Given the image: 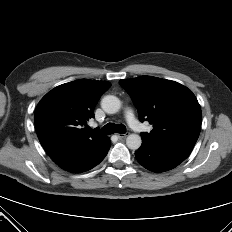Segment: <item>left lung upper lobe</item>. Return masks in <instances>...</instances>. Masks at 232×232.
<instances>
[{"label":"left lung upper lobe","mask_w":232,"mask_h":232,"mask_svg":"<svg viewBox=\"0 0 232 232\" xmlns=\"http://www.w3.org/2000/svg\"><path fill=\"white\" fill-rule=\"evenodd\" d=\"M119 83L131 96L140 120L153 125V130L141 133V137L157 142L196 143L202 113L195 95L187 87L152 76L123 79Z\"/></svg>","instance_id":"5c2ea615"}]
</instances>
